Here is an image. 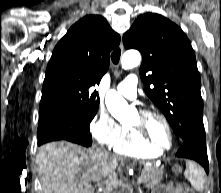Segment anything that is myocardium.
Returning a JSON list of instances; mask_svg holds the SVG:
<instances>
[{
  "mask_svg": "<svg viewBox=\"0 0 221 193\" xmlns=\"http://www.w3.org/2000/svg\"><path fill=\"white\" fill-rule=\"evenodd\" d=\"M138 115L140 118L139 122L136 124L130 125L131 130L137 136V138L142 143H144L148 147L158 151L159 153H164V152L171 150L174 145V132H173L172 126H171L170 122L168 121V119L166 118V116L164 114H162L161 112H159L158 110L148 109V108L140 110ZM148 117H156V118L160 119L161 122L166 127L168 134H169V138H170V143L167 148L161 147L158 144H156L148 135L145 124H144L145 120Z\"/></svg>",
  "mask_w": 221,
  "mask_h": 193,
  "instance_id": "obj_1",
  "label": "myocardium"
}]
</instances>
